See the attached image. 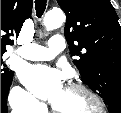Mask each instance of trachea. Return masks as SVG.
Wrapping results in <instances>:
<instances>
[{
  "label": "trachea",
  "mask_w": 121,
  "mask_h": 113,
  "mask_svg": "<svg viewBox=\"0 0 121 113\" xmlns=\"http://www.w3.org/2000/svg\"><path fill=\"white\" fill-rule=\"evenodd\" d=\"M47 0H35V9L37 16L40 18L46 9Z\"/></svg>",
  "instance_id": "trachea-1"
}]
</instances>
